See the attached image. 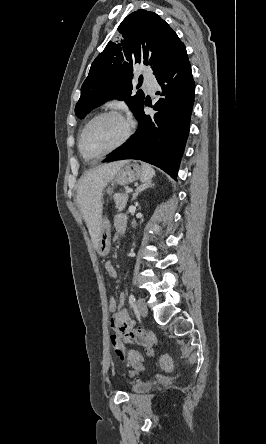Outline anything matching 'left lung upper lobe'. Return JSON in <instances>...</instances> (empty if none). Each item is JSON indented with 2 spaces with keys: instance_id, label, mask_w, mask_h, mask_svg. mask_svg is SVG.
<instances>
[{
  "instance_id": "1",
  "label": "left lung upper lobe",
  "mask_w": 266,
  "mask_h": 444,
  "mask_svg": "<svg viewBox=\"0 0 266 444\" xmlns=\"http://www.w3.org/2000/svg\"><path fill=\"white\" fill-rule=\"evenodd\" d=\"M122 36L110 41L93 61L75 107L83 118L111 98L125 100L134 115L144 103V93H132L133 66H150L155 76L171 67L185 52V45L156 13L139 9L119 25Z\"/></svg>"
}]
</instances>
